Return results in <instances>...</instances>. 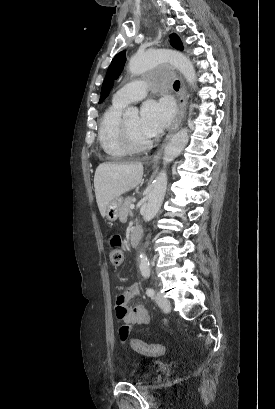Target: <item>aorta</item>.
<instances>
[{"instance_id":"1","label":"aorta","mask_w":275,"mask_h":409,"mask_svg":"<svg viewBox=\"0 0 275 409\" xmlns=\"http://www.w3.org/2000/svg\"><path fill=\"white\" fill-rule=\"evenodd\" d=\"M129 59L128 70L131 74H142V72L147 70V65H161V60H165V62H170L175 68H178L191 86H194L196 82V72L193 62H191L189 56H185V54L177 52V50L130 51ZM138 112V108L129 106V108H126L123 118H137ZM188 140V128H181V130L175 132L164 148V164L171 162L176 156H179ZM166 188L167 174L165 170H161L158 176H156L154 188L149 194V200L143 215L144 221H152V219H154L162 205ZM139 259L141 275L145 277V279H148L151 273L149 261L144 253H141Z\"/></svg>"}]
</instances>
